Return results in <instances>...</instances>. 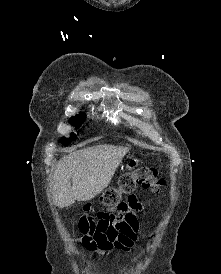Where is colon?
<instances>
[{"label":"colon","mask_w":221,"mask_h":274,"mask_svg":"<svg viewBox=\"0 0 221 274\" xmlns=\"http://www.w3.org/2000/svg\"><path fill=\"white\" fill-rule=\"evenodd\" d=\"M163 185V180L157 171L150 167H139L132 172L125 173L119 179L118 186L107 189L100 197L98 204L102 208L114 207L121 203V198L134 191L137 186L158 192ZM95 207L87 204L85 212H92Z\"/></svg>","instance_id":"obj_1"}]
</instances>
